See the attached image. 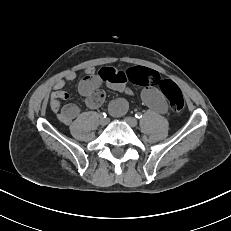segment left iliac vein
<instances>
[{
  "instance_id": "obj_1",
  "label": "left iliac vein",
  "mask_w": 231,
  "mask_h": 231,
  "mask_svg": "<svg viewBox=\"0 0 231 231\" xmlns=\"http://www.w3.org/2000/svg\"><path fill=\"white\" fill-rule=\"evenodd\" d=\"M126 122H127V124L130 126V127H132V128H134V127H136L137 126V120L134 118V117H127L126 118Z\"/></svg>"
}]
</instances>
